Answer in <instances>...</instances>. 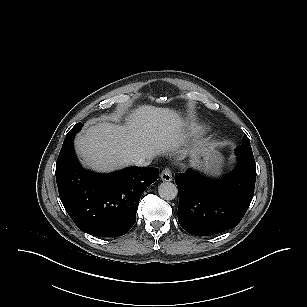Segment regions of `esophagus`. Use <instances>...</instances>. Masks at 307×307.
<instances>
[{
	"label": "esophagus",
	"mask_w": 307,
	"mask_h": 307,
	"mask_svg": "<svg viewBox=\"0 0 307 307\" xmlns=\"http://www.w3.org/2000/svg\"><path fill=\"white\" fill-rule=\"evenodd\" d=\"M161 179L163 181H166V182H170L172 181V172L169 168H165L162 172H161Z\"/></svg>",
	"instance_id": "obj_1"
}]
</instances>
